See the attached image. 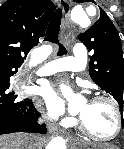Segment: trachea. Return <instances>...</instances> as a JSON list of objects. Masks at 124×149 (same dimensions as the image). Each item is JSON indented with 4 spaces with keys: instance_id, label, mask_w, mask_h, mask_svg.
<instances>
[{
    "instance_id": "obj_1",
    "label": "trachea",
    "mask_w": 124,
    "mask_h": 149,
    "mask_svg": "<svg viewBox=\"0 0 124 149\" xmlns=\"http://www.w3.org/2000/svg\"><path fill=\"white\" fill-rule=\"evenodd\" d=\"M61 18H62V9L59 8L55 11L50 20L45 36L46 40L55 41L57 39L60 29ZM62 53L64 54L65 51H63Z\"/></svg>"
}]
</instances>
